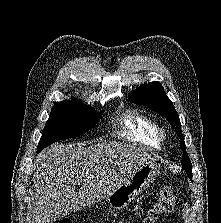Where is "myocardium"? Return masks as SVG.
Wrapping results in <instances>:
<instances>
[{
    "label": "myocardium",
    "instance_id": "obj_1",
    "mask_svg": "<svg viewBox=\"0 0 221 223\" xmlns=\"http://www.w3.org/2000/svg\"><path fill=\"white\" fill-rule=\"evenodd\" d=\"M160 139H164V134L160 132Z\"/></svg>",
    "mask_w": 221,
    "mask_h": 223
}]
</instances>
